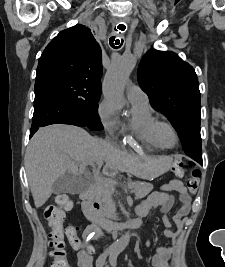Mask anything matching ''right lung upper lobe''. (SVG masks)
<instances>
[{
	"label": "right lung upper lobe",
	"instance_id": "1",
	"mask_svg": "<svg viewBox=\"0 0 225 267\" xmlns=\"http://www.w3.org/2000/svg\"><path fill=\"white\" fill-rule=\"evenodd\" d=\"M52 75L83 80L101 88L102 51L87 27L77 24L65 29L46 46L36 79Z\"/></svg>",
	"mask_w": 225,
	"mask_h": 267
}]
</instances>
